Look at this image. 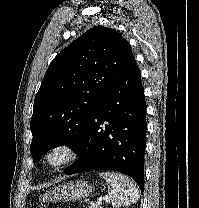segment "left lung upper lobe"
Returning a JSON list of instances; mask_svg holds the SVG:
<instances>
[{
    "label": "left lung upper lobe",
    "mask_w": 199,
    "mask_h": 208,
    "mask_svg": "<svg viewBox=\"0 0 199 208\" xmlns=\"http://www.w3.org/2000/svg\"><path fill=\"white\" fill-rule=\"evenodd\" d=\"M134 60L128 41L103 26L91 28L53 59L34 101L33 162L58 144L77 150L96 105Z\"/></svg>",
    "instance_id": "1"
}]
</instances>
